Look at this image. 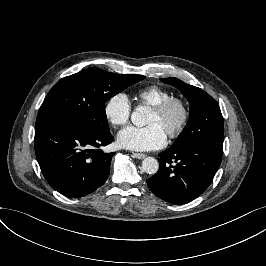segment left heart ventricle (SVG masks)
Segmentation results:
<instances>
[{"mask_svg":"<svg viewBox=\"0 0 266 266\" xmlns=\"http://www.w3.org/2000/svg\"><path fill=\"white\" fill-rule=\"evenodd\" d=\"M181 118V110L178 106L173 107L167 114L161 115L151 110L148 115L147 123L158 124L166 133Z\"/></svg>","mask_w":266,"mask_h":266,"instance_id":"obj_1","label":"left heart ventricle"}]
</instances>
